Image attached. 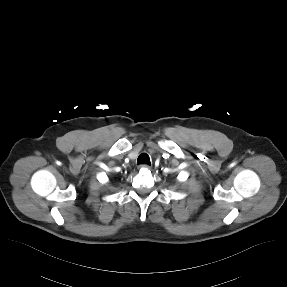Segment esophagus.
I'll return each mask as SVG.
<instances>
[{
    "mask_svg": "<svg viewBox=\"0 0 287 287\" xmlns=\"http://www.w3.org/2000/svg\"><path fill=\"white\" fill-rule=\"evenodd\" d=\"M138 168H139V169H142V168H151V166L148 165V164H140V165L138 166Z\"/></svg>",
    "mask_w": 287,
    "mask_h": 287,
    "instance_id": "obj_1",
    "label": "esophagus"
}]
</instances>
